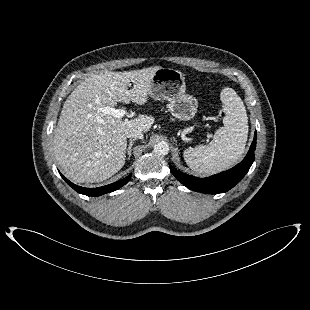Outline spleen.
Listing matches in <instances>:
<instances>
[{"label":"spleen","mask_w":310,"mask_h":310,"mask_svg":"<svg viewBox=\"0 0 310 310\" xmlns=\"http://www.w3.org/2000/svg\"><path fill=\"white\" fill-rule=\"evenodd\" d=\"M225 117L224 126L214 134L208 145L184 151L187 165L197 173L206 175L224 171L243 155L248 137V117L243 101L232 88L221 91Z\"/></svg>","instance_id":"spleen-1"}]
</instances>
